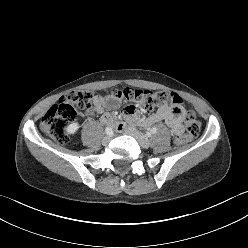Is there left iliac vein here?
Here are the masks:
<instances>
[{"label":"left iliac vein","instance_id":"4c4485c4","mask_svg":"<svg viewBox=\"0 0 248 248\" xmlns=\"http://www.w3.org/2000/svg\"><path fill=\"white\" fill-rule=\"evenodd\" d=\"M125 133L133 136L143 148H148L150 146L148 137L141 132L132 128H128L125 130Z\"/></svg>","mask_w":248,"mask_h":248}]
</instances>
